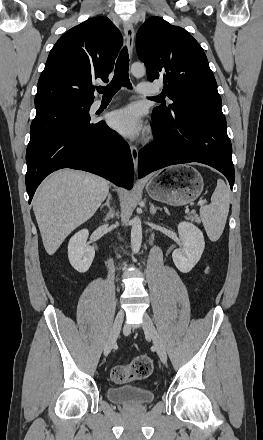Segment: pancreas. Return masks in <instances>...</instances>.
Here are the masks:
<instances>
[{
	"label": "pancreas",
	"mask_w": 263,
	"mask_h": 440,
	"mask_svg": "<svg viewBox=\"0 0 263 440\" xmlns=\"http://www.w3.org/2000/svg\"><path fill=\"white\" fill-rule=\"evenodd\" d=\"M189 219L197 223H200V218L198 217L196 212H192L191 214H189Z\"/></svg>",
	"instance_id": "1"
}]
</instances>
